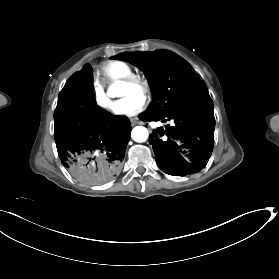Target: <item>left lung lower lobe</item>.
<instances>
[{
    "label": "left lung lower lobe",
    "instance_id": "0a47b994",
    "mask_svg": "<svg viewBox=\"0 0 279 279\" xmlns=\"http://www.w3.org/2000/svg\"><path fill=\"white\" fill-rule=\"evenodd\" d=\"M143 121L166 122L175 125L160 127L150 135L157 165L165 173L185 176L199 172L208 162L214 145L215 119L209 95L198 98L170 113H143Z\"/></svg>",
    "mask_w": 279,
    "mask_h": 279
}]
</instances>
